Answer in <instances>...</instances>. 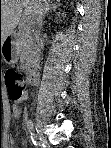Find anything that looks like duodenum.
Returning <instances> with one entry per match:
<instances>
[{
	"mask_svg": "<svg viewBox=\"0 0 111 148\" xmlns=\"http://www.w3.org/2000/svg\"><path fill=\"white\" fill-rule=\"evenodd\" d=\"M38 82V73L35 69H31L27 77V83L29 85H34Z\"/></svg>",
	"mask_w": 111,
	"mask_h": 148,
	"instance_id": "1",
	"label": "duodenum"
}]
</instances>
